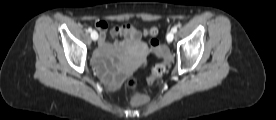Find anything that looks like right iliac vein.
<instances>
[{
  "label": "right iliac vein",
  "instance_id": "obj_1",
  "mask_svg": "<svg viewBox=\"0 0 276 120\" xmlns=\"http://www.w3.org/2000/svg\"><path fill=\"white\" fill-rule=\"evenodd\" d=\"M91 38L96 41L98 39V33L96 31L91 32Z\"/></svg>",
  "mask_w": 276,
  "mask_h": 120
}]
</instances>
